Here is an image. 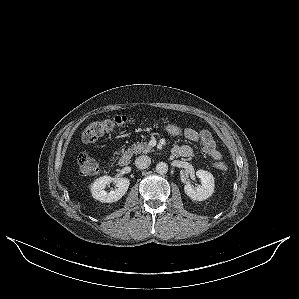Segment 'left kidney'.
<instances>
[{
  "label": "left kidney",
  "instance_id": "5707ae66",
  "mask_svg": "<svg viewBox=\"0 0 299 299\" xmlns=\"http://www.w3.org/2000/svg\"><path fill=\"white\" fill-rule=\"evenodd\" d=\"M196 176L201 179V184L197 188H193L191 184L184 185V192L192 200L203 201L208 199L214 192V177L205 170H198Z\"/></svg>",
  "mask_w": 299,
  "mask_h": 299
}]
</instances>
